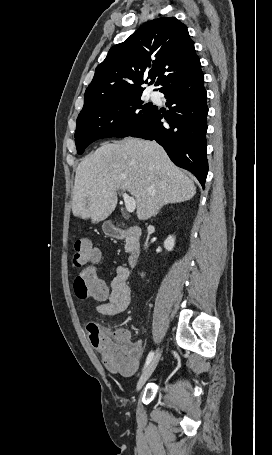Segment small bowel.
<instances>
[{
  "label": "small bowel",
  "mask_w": 272,
  "mask_h": 455,
  "mask_svg": "<svg viewBox=\"0 0 272 455\" xmlns=\"http://www.w3.org/2000/svg\"><path fill=\"white\" fill-rule=\"evenodd\" d=\"M129 271L123 266L116 269V275L111 281L106 302L97 307L99 313L105 316H115L123 313L129 306L131 300V292L128 285ZM115 336L123 342L129 344L130 333L128 330L119 329L115 332ZM134 356L131 365L123 370L124 375H131L138 369L142 356L143 348L139 342L132 345Z\"/></svg>",
  "instance_id": "c3829d8e"
}]
</instances>
